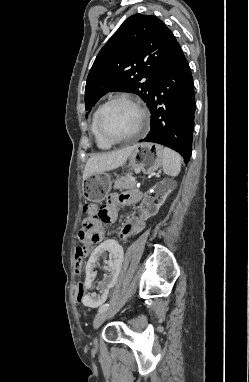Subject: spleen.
Instances as JSON below:
<instances>
[{"mask_svg": "<svg viewBox=\"0 0 249 382\" xmlns=\"http://www.w3.org/2000/svg\"><path fill=\"white\" fill-rule=\"evenodd\" d=\"M162 168L166 175L175 177L181 170V156L174 150L164 147L162 148Z\"/></svg>", "mask_w": 249, "mask_h": 382, "instance_id": "3e777b00", "label": "spleen"}]
</instances>
